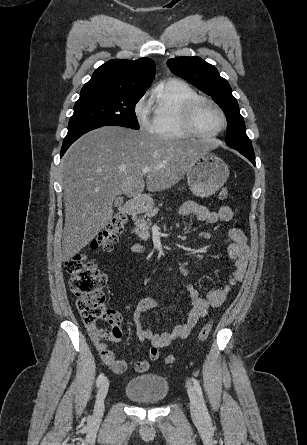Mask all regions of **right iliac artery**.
Wrapping results in <instances>:
<instances>
[{
    "label": "right iliac artery",
    "instance_id": "1",
    "mask_svg": "<svg viewBox=\"0 0 307 445\" xmlns=\"http://www.w3.org/2000/svg\"><path fill=\"white\" fill-rule=\"evenodd\" d=\"M103 380H104V374L102 373L97 378V381H96L97 386H99L103 382Z\"/></svg>",
    "mask_w": 307,
    "mask_h": 445
}]
</instances>
